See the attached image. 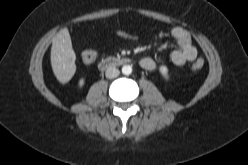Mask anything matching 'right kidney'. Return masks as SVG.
<instances>
[{"label": "right kidney", "mask_w": 248, "mask_h": 165, "mask_svg": "<svg viewBox=\"0 0 248 165\" xmlns=\"http://www.w3.org/2000/svg\"><path fill=\"white\" fill-rule=\"evenodd\" d=\"M84 82H85V81H84V79H83V78H82V79H80V80H79V86H80V87H82V86L84 85Z\"/></svg>", "instance_id": "right-kidney-1"}]
</instances>
